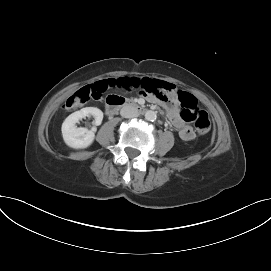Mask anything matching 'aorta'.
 Instances as JSON below:
<instances>
[{"mask_svg": "<svg viewBox=\"0 0 271 271\" xmlns=\"http://www.w3.org/2000/svg\"><path fill=\"white\" fill-rule=\"evenodd\" d=\"M145 119L148 121H155L157 119V114L155 111L148 110L145 113Z\"/></svg>", "mask_w": 271, "mask_h": 271, "instance_id": "762f6f07", "label": "aorta"}]
</instances>
